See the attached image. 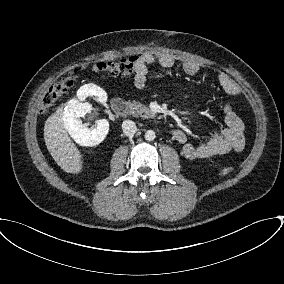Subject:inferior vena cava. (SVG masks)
<instances>
[{
	"label": "inferior vena cava",
	"mask_w": 284,
	"mask_h": 284,
	"mask_svg": "<svg viewBox=\"0 0 284 284\" xmlns=\"http://www.w3.org/2000/svg\"><path fill=\"white\" fill-rule=\"evenodd\" d=\"M122 129L127 136H132L137 131L136 124L132 120L123 121Z\"/></svg>",
	"instance_id": "obj_1"
}]
</instances>
